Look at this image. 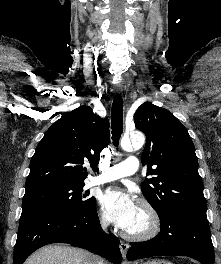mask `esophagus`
<instances>
[{"label": "esophagus", "instance_id": "1", "mask_svg": "<svg viewBox=\"0 0 221 264\" xmlns=\"http://www.w3.org/2000/svg\"><path fill=\"white\" fill-rule=\"evenodd\" d=\"M113 90H114L115 94L120 95L122 93V91H123V88H122L121 85H115L113 87ZM128 249H129V244H127V243H125L123 241H120V251H121V254H122L124 259H126V255H127Z\"/></svg>", "mask_w": 221, "mask_h": 264}]
</instances>
